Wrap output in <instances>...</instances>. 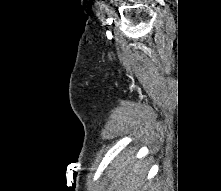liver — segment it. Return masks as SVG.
Listing matches in <instances>:
<instances>
[{"label":"liver","mask_w":221,"mask_h":191,"mask_svg":"<svg viewBox=\"0 0 221 191\" xmlns=\"http://www.w3.org/2000/svg\"><path fill=\"white\" fill-rule=\"evenodd\" d=\"M109 179L115 191H146L144 183L148 167L134 155L125 154L112 163Z\"/></svg>","instance_id":"obj_1"}]
</instances>
